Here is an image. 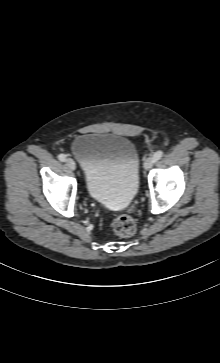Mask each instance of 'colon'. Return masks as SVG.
<instances>
[{
	"label": "colon",
	"mask_w": 220,
	"mask_h": 363,
	"mask_svg": "<svg viewBox=\"0 0 220 363\" xmlns=\"http://www.w3.org/2000/svg\"><path fill=\"white\" fill-rule=\"evenodd\" d=\"M111 226L121 237L132 236L136 231V223L129 215H117L111 221Z\"/></svg>",
	"instance_id": "5ec220e1"
}]
</instances>
